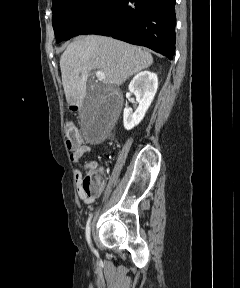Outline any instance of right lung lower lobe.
<instances>
[{
	"label": "right lung lower lobe",
	"instance_id": "1",
	"mask_svg": "<svg viewBox=\"0 0 240 288\" xmlns=\"http://www.w3.org/2000/svg\"><path fill=\"white\" fill-rule=\"evenodd\" d=\"M175 0H112L80 34L146 46L170 60L175 53Z\"/></svg>",
	"mask_w": 240,
	"mask_h": 288
}]
</instances>
